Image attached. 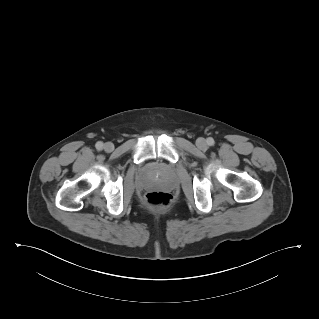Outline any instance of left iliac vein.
I'll use <instances>...</instances> for the list:
<instances>
[{
  "mask_svg": "<svg viewBox=\"0 0 319 319\" xmlns=\"http://www.w3.org/2000/svg\"><path fill=\"white\" fill-rule=\"evenodd\" d=\"M196 145L200 148V149H206L207 148V142L204 138H198L196 140Z\"/></svg>",
  "mask_w": 319,
  "mask_h": 319,
  "instance_id": "obj_1",
  "label": "left iliac vein"
}]
</instances>
